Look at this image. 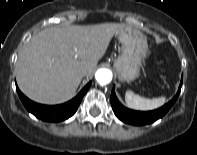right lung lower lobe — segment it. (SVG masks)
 Segmentation results:
<instances>
[{"label": "right lung lower lobe", "instance_id": "obj_1", "mask_svg": "<svg viewBox=\"0 0 197 155\" xmlns=\"http://www.w3.org/2000/svg\"><path fill=\"white\" fill-rule=\"evenodd\" d=\"M91 82H89L79 94L72 100L60 105H42L28 99L16 85L17 93L25 108L37 118L47 122H60L71 117L78 109L83 96L88 91Z\"/></svg>", "mask_w": 197, "mask_h": 155}]
</instances>
